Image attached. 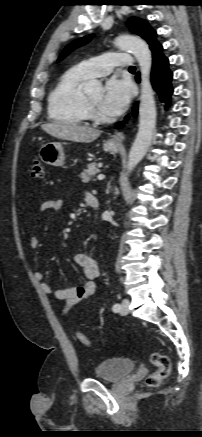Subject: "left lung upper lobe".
Segmentation results:
<instances>
[{
	"instance_id": "5c2ea615",
	"label": "left lung upper lobe",
	"mask_w": 202,
	"mask_h": 437,
	"mask_svg": "<svg viewBox=\"0 0 202 437\" xmlns=\"http://www.w3.org/2000/svg\"><path fill=\"white\" fill-rule=\"evenodd\" d=\"M127 25L133 33L138 34L147 41L151 51L159 44L156 40V32L150 27L147 21L132 17L128 20ZM93 37L94 35H88L71 42L62 51L58 61L64 59L74 49L88 43Z\"/></svg>"
}]
</instances>
